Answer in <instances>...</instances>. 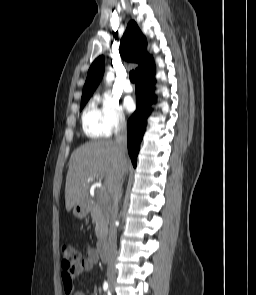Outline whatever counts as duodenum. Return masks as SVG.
Listing matches in <instances>:
<instances>
[{"label": "duodenum", "mask_w": 256, "mask_h": 295, "mask_svg": "<svg viewBox=\"0 0 256 295\" xmlns=\"http://www.w3.org/2000/svg\"><path fill=\"white\" fill-rule=\"evenodd\" d=\"M98 254L101 261L106 262L109 258V252L105 244L101 243L98 246Z\"/></svg>", "instance_id": "obj_1"}]
</instances>
